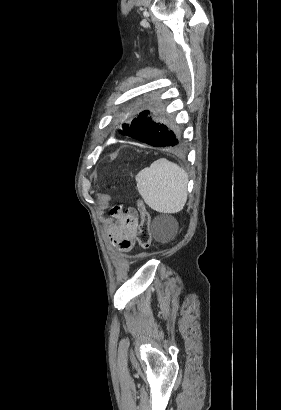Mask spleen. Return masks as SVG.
Instances as JSON below:
<instances>
[{
	"label": "spleen",
	"mask_w": 281,
	"mask_h": 410,
	"mask_svg": "<svg viewBox=\"0 0 281 410\" xmlns=\"http://www.w3.org/2000/svg\"><path fill=\"white\" fill-rule=\"evenodd\" d=\"M137 190L153 210L174 214L187 201L188 175L184 169L165 158L154 161L135 177Z\"/></svg>",
	"instance_id": "spleen-1"
}]
</instances>
